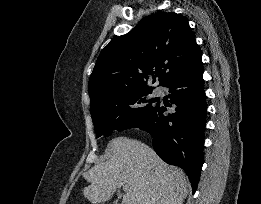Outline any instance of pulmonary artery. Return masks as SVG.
I'll list each match as a JSON object with an SVG mask.
<instances>
[{
	"label": "pulmonary artery",
	"mask_w": 261,
	"mask_h": 204,
	"mask_svg": "<svg viewBox=\"0 0 261 204\" xmlns=\"http://www.w3.org/2000/svg\"><path fill=\"white\" fill-rule=\"evenodd\" d=\"M161 93H162V90H161L160 88H157V89H156V94L159 95V94H161Z\"/></svg>",
	"instance_id": "e3ab8cb5"
}]
</instances>
